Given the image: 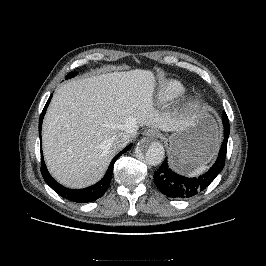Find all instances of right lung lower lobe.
<instances>
[{
	"label": "right lung lower lobe",
	"mask_w": 266,
	"mask_h": 266,
	"mask_svg": "<svg viewBox=\"0 0 266 266\" xmlns=\"http://www.w3.org/2000/svg\"><path fill=\"white\" fill-rule=\"evenodd\" d=\"M52 95L48 99L42 113L39 119V135L41 139V127H42V121L47 109V106L51 100ZM132 147V144L128 145L126 148H124L119 154H117L113 160L111 161L108 170L106 174L104 175L103 179L100 180L98 183L85 188V189H80V190H71L68 188H65L64 186L60 185L57 183L49 174L46 165L44 163L43 155L41 153V173L46 181V183L60 196L64 197L65 199H68L73 202L77 203H86V202H91L94 201L98 198H100L108 189L111 178H112V173H113V166L116 160L126 151H128Z\"/></svg>",
	"instance_id": "obj_1"
}]
</instances>
